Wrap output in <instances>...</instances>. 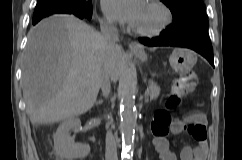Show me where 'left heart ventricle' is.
Masks as SVG:
<instances>
[{"label":"left heart ventricle","mask_w":242,"mask_h":160,"mask_svg":"<svg viewBox=\"0 0 242 160\" xmlns=\"http://www.w3.org/2000/svg\"><path fill=\"white\" fill-rule=\"evenodd\" d=\"M162 20L161 11L155 6L145 1L140 11L135 27L152 29L157 27Z\"/></svg>","instance_id":"left-heart-ventricle-1"}]
</instances>
